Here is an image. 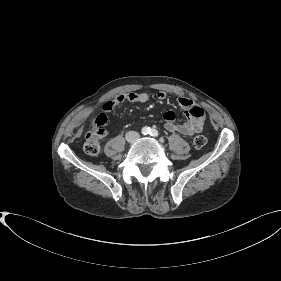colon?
<instances>
[{
    "label": "colon",
    "instance_id": "obj_1",
    "mask_svg": "<svg viewBox=\"0 0 281 281\" xmlns=\"http://www.w3.org/2000/svg\"><path fill=\"white\" fill-rule=\"evenodd\" d=\"M107 116L103 113L95 116L89 124L85 135L84 150L91 156H97L101 152L100 140L105 137ZM196 148H202L206 144V138L203 135H197L193 139Z\"/></svg>",
    "mask_w": 281,
    "mask_h": 281
}]
</instances>
